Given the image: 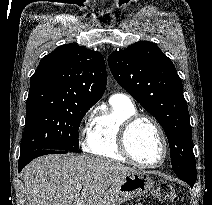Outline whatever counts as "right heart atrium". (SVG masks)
I'll use <instances>...</instances> for the list:
<instances>
[{
    "label": "right heart atrium",
    "instance_id": "1",
    "mask_svg": "<svg viewBox=\"0 0 212 205\" xmlns=\"http://www.w3.org/2000/svg\"><path fill=\"white\" fill-rule=\"evenodd\" d=\"M91 117H92V109L89 110L83 118L82 125L80 126V129H79L80 137H87L88 136L89 131H90L89 123L91 121Z\"/></svg>",
    "mask_w": 212,
    "mask_h": 205
}]
</instances>
